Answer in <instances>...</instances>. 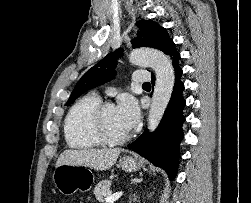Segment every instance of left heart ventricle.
Here are the masks:
<instances>
[{
    "label": "left heart ventricle",
    "mask_w": 251,
    "mask_h": 203,
    "mask_svg": "<svg viewBox=\"0 0 251 203\" xmlns=\"http://www.w3.org/2000/svg\"><path fill=\"white\" fill-rule=\"evenodd\" d=\"M104 125L110 136L121 137L128 133V131L121 124L115 107L106 110L104 114Z\"/></svg>",
    "instance_id": "b2bd125f"
}]
</instances>
